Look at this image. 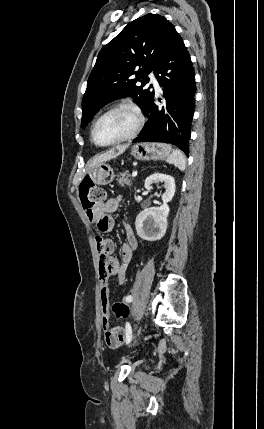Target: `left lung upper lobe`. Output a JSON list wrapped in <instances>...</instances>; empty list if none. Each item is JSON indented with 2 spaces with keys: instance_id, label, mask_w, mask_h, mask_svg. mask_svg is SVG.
<instances>
[{
  "instance_id": "5c2ea615",
  "label": "left lung upper lobe",
  "mask_w": 264,
  "mask_h": 429,
  "mask_svg": "<svg viewBox=\"0 0 264 429\" xmlns=\"http://www.w3.org/2000/svg\"><path fill=\"white\" fill-rule=\"evenodd\" d=\"M172 29L165 17L146 14L128 23L101 49L82 99V128L114 99L130 96L144 110L153 94L152 85L144 87L149 82L147 75L154 71Z\"/></svg>"
}]
</instances>
